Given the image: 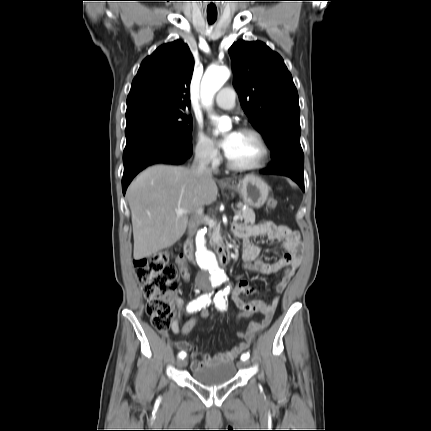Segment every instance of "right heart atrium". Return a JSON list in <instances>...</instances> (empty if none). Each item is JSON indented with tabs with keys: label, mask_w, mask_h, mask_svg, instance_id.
<instances>
[{
	"label": "right heart atrium",
	"mask_w": 431,
	"mask_h": 431,
	"mask_svg": "<svg viewBox=\"0 0 431 431\" xmlns=\"http://www.w3.org/2000/svg\"><path fill=\"white\" fill-rule=\"evenodd\" d=\"M194 154L196 158L203 164L214 166L218 162V150L211 140L201 131L197 133Z\"/></svg>",
	"instance_id": "d8ad5b80"
}]
</instances>
